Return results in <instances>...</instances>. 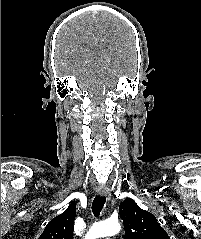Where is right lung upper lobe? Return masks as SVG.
<instances>
[{
	"label": "right lung upper lobe",
	"instance_id": "1",
	"mask_svg": "<svg viewBox=\"0 0 201 239\" xmlns=\"http://www.w3.org/2000/svg\"><path fill=\"white\" fill-rule=\"evenodd\" d=\"M75 215L76 204L73 202L62 214L48 223L39 239H73Z\"/></svg>",
	"mask_w": 201,
	"mask_h": 239
}]
</instances>
